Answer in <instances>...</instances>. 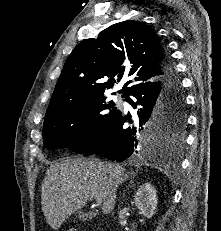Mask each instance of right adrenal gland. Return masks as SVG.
<instances>
[{
  "mask_svg": "<svg viewBox=\"0 0 221 231\" xmlns=\"http://www.w3.org/2000/svg\"><path fill=\"white\" fill-rule=\"evenodd\" d=\"M131 175H133V176H134V173H131ZM130 183H132V177H131Z\"/></svg>",
  "mask_w": 221,
  "mask_h": 231,
  "instance_id": "obj_1",
  "label": "right adrenal gland"
}]
</instances>
